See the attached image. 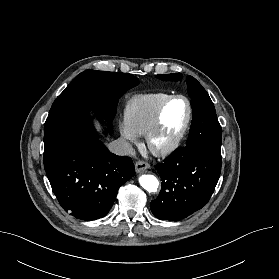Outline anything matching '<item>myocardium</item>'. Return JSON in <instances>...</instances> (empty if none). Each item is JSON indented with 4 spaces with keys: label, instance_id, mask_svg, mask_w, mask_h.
Returning a JSON list of instances; mask_svg holds the SVG:
<instances>
[{
    "label": "myocardium",
    "instance_id": "obj_1",
    "mask_svg": "<svg viewBox=\"0 0 279 279\" xmlns=\"http://www.w3.org/2000/svg\"><path fill=\"white\" fill-rule=\"evenodd\" d=\"M176 99L184 100L187 105L186 120L182 128L180 129V131L172 139H170L168 142H166L163 145H156L155 140L162 126V118H163L164 111L166 107L169 105V103H171ZM192 115H193V108H192L191 101L189 100L188 97L182 94L171 95L170 97H168L159 107L152 125L146 132V145L148 149L156 156H166L171 154L173 151H175L176 148L182 142L183 138L185 137L189 129L192 120Z\"/></svg>",
    "mask_w": 279,
    "mask_h": 279
}]
</instances>
